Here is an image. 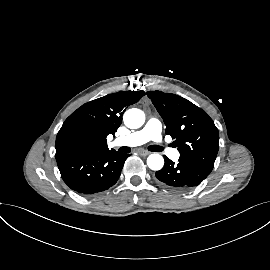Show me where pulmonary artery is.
<instances>
[{
	"mask_svg": "<svg viewBox=\"0 0 270 270\" xmlns=\"http://www.w3.org/2000/svg\"><path fill=\"white\" fill-rule=\"evenodd\" d=\"M150 140L156 142L157 145L161 147L162 152H165L172 159L179 157V152L170 148L162 139V125L156 118H150L142 129L127 136L117 138L115 144L138 146Z\"/></svg>",
	"mask_w": 270,
	"mask_h": 270,
	"instance_id": "obj_1",
	"label": "pulmonary artery"
}]
</instances>
